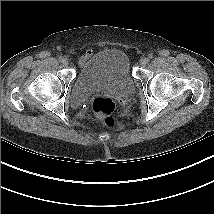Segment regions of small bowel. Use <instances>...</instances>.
Masks as SVG:
<instances>
[{
	"label": "small bowel",
	"instance_id": "obj_1",
	"mask_svg": "<svg viewBox=\"0 0 214 214\" xmlns=\"http://www.w3.org/2000/svg\"><path fill=\"white\" fill-rule=\"evenodd\" d=\"M93 56V50L91 48L86 49L82 54L79 56V64L83 65L87 60H89Z\"/></svg>",
	"mask_w": 214,
	"mask_h": 214
}]
</instances>
